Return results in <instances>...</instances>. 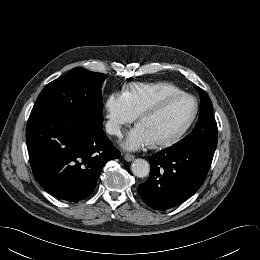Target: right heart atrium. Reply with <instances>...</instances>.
Returning a JSON list of instances; mask_svg holds the SVG:
<instances>
[{"instance_id":"d8ad5b80","label":"right heart atrium","mask_w":260,"mask_h":260,"mask_svg":"<svg viewBox=\"0 0 260 260\" xmlns=\"http://www.w3.org/2000/svg\"><path fill=\"white\" fill-rule=\"evenodd\" d=\"M106 129L109 134L120 136L124 128L133 122L136 115L129 108L123 94L112 92L105 102Z\"/></svg>"}]
</instances>
